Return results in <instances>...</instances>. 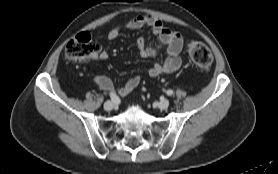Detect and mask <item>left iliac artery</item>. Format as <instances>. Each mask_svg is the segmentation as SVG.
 <instances>
[{"instance_id": "44dca946", "label": "left iliac artery", "mask_w": 278, "mask_h": 174, "mask_svg": "<svg viewBox=\"0 0 278 174\" xmlns=\"http://www.w3.org/2000/svg\"><path fill=\"white\" fill-rule=\"evenodd\" d=\"M166 93H167L168 96H172L173 95V90L169 89V90H167Z\"/></svg>"}]
</instances>
